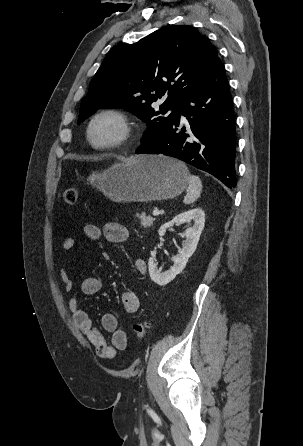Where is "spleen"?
<instances>
[{
  "instance_id": "3e777b00",
  "label": "spleen",
  "mask_w": 303,
  "mask_h": 446,
  "mask_svg": "<svg viewBox=\"0 0 303 446\" xmlns=\"http://www.w3.org/2000/svg\"><path fill=\"white\" fill-rule=\"evenodd\" d=\"M202 183L198 176L190 175L189 186L187 188L186 196L184 197L185 204H191L195 202L201 194Z\"/></svg>"
}]
</instances>
